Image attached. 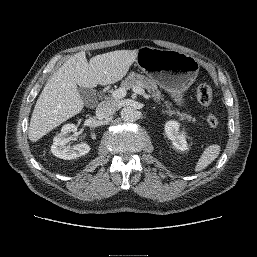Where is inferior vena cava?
I'll return each mask as SVG.
<instances>
[{
	"instance_id": "602c4592",
	"label": "inferior vena cava",
	"mask_w": 257,
	"mask_h": 257,
	"mask_svg": "<svg viewBox=\"0 0 257 257\" xmlns=\"http://www.w3.org/2000/svg\"><path fill=\"white\" fill-rule=\"evenodd\" d=\"M118 110V105L111 101H103L96 108L98 118H106L113 115Z\"/></svg>"
}]
</instances>
